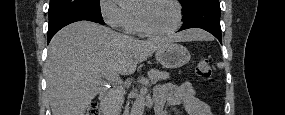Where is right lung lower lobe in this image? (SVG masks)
Wrapping results in <instances>:
<instances>
[{"label": "right lung lower lobe", "mask_w": 285, "mask_h": 115, "mask_svg": "<svg viewBox=\"0 0 285 115\" xmlns=\"http://www.w3.org/2000/svg\"><path fill=\"white\" fill-rule=\"evenodd\" d=\"M81 20H89L100 24H105L100 14L84 11H68L49 18L48 43L51 38L64 26Z\"/></svg>", "instance_id": "right-lung-lower-lobe-1"}]
</instances>
